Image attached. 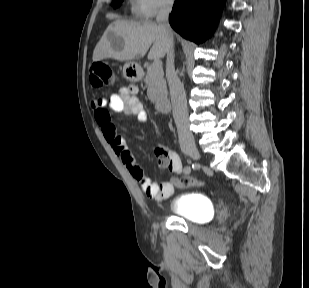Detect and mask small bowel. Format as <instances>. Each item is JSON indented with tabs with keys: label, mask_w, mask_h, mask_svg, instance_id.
<instances>
[{
	"label": "small bowel",
	"mask_w": 309,
	"mask_h": 288,
	"mask_svg": "<svg viewBox=\"0 0 309 288\" xmlns=\"http://www.w3.org/2000/svg\"><path fill=\"white\" fill-rule=\"evenodd\" d=\"M136 93V86L122 87L117 93H113L107 98L94 100L92 108L105 141L126 167L131 177L140 184L148 198L162 201L173 195L174 185L171 182L156 183L152 181L137 165L133 153L128 148L126 138L117 132L110 114V110H112L125 113L138 122H146L148 114L136 98ZM156 157L160 167L168 168L174 172L181 171V160L173 150L160 147L156 150Z\"/></svg>",
	"instance_id": "c3829d8e"
}]
</instances>
